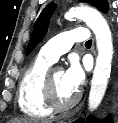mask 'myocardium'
Masks as SVG:
<instances>
[{"mask_svg": "<svg viewBox=\"0 0 118 123\" xmlns=\"http://www.w3.org/2000/svg\"><path fill=\"white\" fill-rule=\"evenodd\" d=\"M57 69H49L45 75L43 88H44V101L46 105L55 112H64L74 107L80 100L81 94H76L67 102L62 103L58 100L55 92V87L52 79L53 72Z\"/></svg>", "mask_w": 118, "mask_h": 123, "instance_id": "obj_1", "label": "myocardium"}]
</instances>
